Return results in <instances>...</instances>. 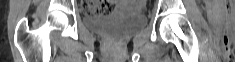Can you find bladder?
Here are the masks:
<instances>
[{
	"mask_svg": "<svg viewBox=\"0 0 235 62\" xmlns=\"http://www.w3.org/2000/svg\"><path fill=\"white\" fill-rule=\"evenodd\" d=\"M84 21L89 28L99 33L128 34L143 28L147 18L132 2L124 1L112 13L98 17L86 14Z\"/></svg>",
	"mask_w": 235,
	"mask_h": 62,
	"instance_id": "obj_1",
	"label": "bladder"
}]
</instances>
